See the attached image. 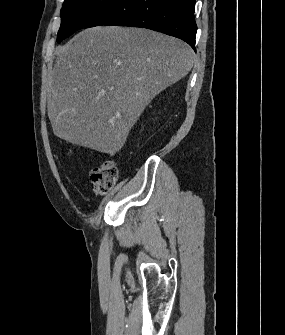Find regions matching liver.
I'll use <instances>...</instances> for the list:
<instances>
[{
  "label": "liver",
  "mask_w": 285,
  "mask_h": 335,
  "mask_svg": "<svg viewBox=\"0 0 285 335\" xmlns=\"http://www.w3.org/2000/svg\"><path fill=\"white\" fill-rule=\"evenodd\" d=\"M47 88L57 138L116 154L146 106L190 72L185 42L143 28L97 26L55 48Z\"/></svg>",
  "instance_id": "1"
}]
</instances>
